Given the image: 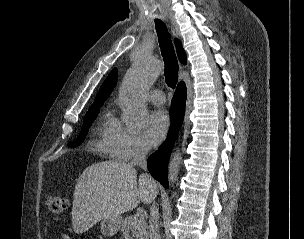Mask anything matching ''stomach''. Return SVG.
Here are the masks:
<instances>
[{"label": "stomach", "instance_id": "0dacf381", "mask_svg": "<svg viewBox=\"0 0 304 239\" xmlns=\"http://www.w3.org/2000/svg\"><path fill=\"white\" fill-rule=\"evenodd\" d=\"M121 224L120 217L103 218L100 224L101 232L104 236H114L119 231Z\"/></svg>", "mask_w": 304, "mask_h": 239}]
</instances>
